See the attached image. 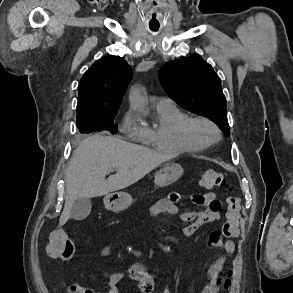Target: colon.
Listing matches in <instances>:
<instances>
[{"instance_id":"1","label":"colon","mask_w":293,"mask_h":293,"mask_svg":"<svg viewBox=\"0 0 293 293\" xmlns=\"http://www.w3.org/2000/svg\"><path fill=\"white\" fill-rule=\"evenodd\" d=\"M200 185L203 188H221L231 191L222 173L208 169L200 175ZM240 212V199L231 195L227 198L226 221L222 227V234L225 237H236L238 235V221ZM46 253L52 259H59L63 262L70 261L75 253V247L70 234L61 229L52 232L49 243L46 246ZM231 283V271L218 277L217 287L219 290H226Z\"/></svg>"}]
</instances>
